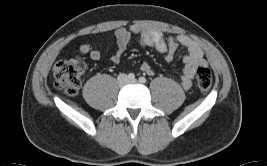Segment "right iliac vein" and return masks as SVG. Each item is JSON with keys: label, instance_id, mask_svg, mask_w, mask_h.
Segmentation results:
<instances>
[{"label": "right iliac vein", "instance_id": "obj_1", "mask_svg": "<svg viewBox=\"0 0 267 166\" xmlns=\"http://www.w3.org/2000/svg\"><path fill=\"white\" fill-rule=\"evenodd\" d=\"M119 87H123L128 83L127 76L125 74H121L117 78Z\"/></svg>", "mask_w": 267, "mask_h": 166}]
</instances>
